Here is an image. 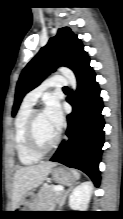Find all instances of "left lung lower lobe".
I'll return each instance as SVG.
<instances>
[{
    "mask_svg": "<svg viewBox=\"0 0 123 219\" xmlns=\"http://www.w3.org/2000/svg\"><path fill=\"white\" fill-rule=\"evenodd\" d=\"M84 61L76 70L77 91L70 92L67 101L74 110L67 116V140L62 141L54 156L53 162L77 168L90 176L96 186L100 182L98 164L104 144V120L100 88L95 81V73Z\"/></svg>",
    "mask_w": 123,
    "mask_h": 219,
    "instance_id": "left-lung-lower-lobe-1",
    "label": "left lung lower lobe"
}]
</instances>
